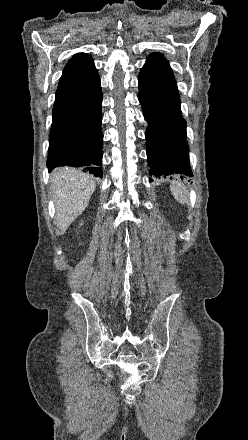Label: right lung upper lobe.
<instances>
[{
  "label": "right lung upper lobe",
  "mask_w": 248,
  "mask_h": 440,
  "mask_svg": "<svg viewBox=\"0 0 248 440\" xmlns=\"http://www.w3.org/2000/svg\"><path fill=\"white\" fill-rule=\"evenodd\" d=\"M98 78L92 58L87 53H77L64 68L56 94L82 89Z\"/></svg>",
  "instance_id": "obj_1"
}]
</instances>
